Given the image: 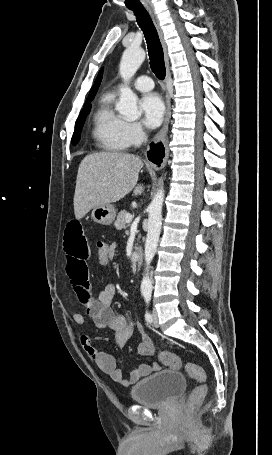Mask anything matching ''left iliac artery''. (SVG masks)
I'll use <instances>...</instances> for the list:
<instances>
[{
	"instance_id": "left-iliac-artery-1",
	"label": "left iliac artery",
	"mask_w": 272,
	"mask_h": 455,
	"mask_svg": "<svg viewBox=\"0 0 272 455\" xmlns=\"http://www.w3.org/2000/svg\"><path fill=\"white\" fill-rule=\"evenodd\" d=\"M143 296H144V299H145L146 304H147V306H148V305H149V302H150V300H151V294L145 293ZM145 320H146V322H148V323H151V322H152V316H151V314H150L148 311H146V313H145Z\"/></svg>"
}]
</instances>
